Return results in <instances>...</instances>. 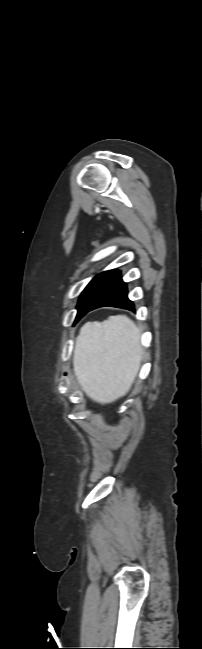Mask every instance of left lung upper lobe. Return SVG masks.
Returning a JSON list of instances; mask_svg holds the SVG:
<instances>
[{
  "label": "left lung upper lobe",
  "instance_id": "left-lung-upper-lobe-1",
  "mask_svg": "<svg viewBox=\"0 0 202 649\" xmlns=\"http://www.w3.org/2000/svg\"><path fill=\"white\" fill-rule=\"evenodd\" d=\"M117 272V270L102 272L91 280L79 298L76 320L82 317L85 308L105 289Z\"/></svg>",
  "mask_w": 202,
  "mask_h": 649
}]
</instances>
